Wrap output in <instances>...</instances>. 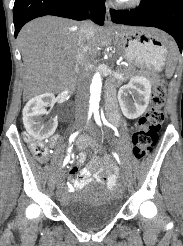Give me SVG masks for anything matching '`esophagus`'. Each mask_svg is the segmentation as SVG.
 Here are the masks:
<instances>
[{"mask_svg":"<svg viewBox=\"0 0 183 246\" xmlns=\"http://www.w3.org/2000/svg\"><path fill=\"white\" fill-rule=\"evenodd\" d=\"M105 23L107 25H111V15H110V7L109 4H106V14H105Z\"/></svg>","mask_w":183,"mask_h":246,"instance_id":"1","label":"esophagus"}]
</instances>
